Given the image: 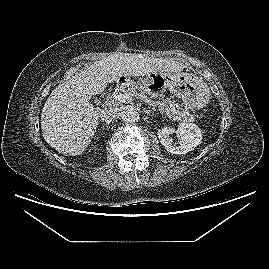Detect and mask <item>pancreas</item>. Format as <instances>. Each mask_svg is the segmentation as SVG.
<instances>
[{
    "label": "pancreas",
    "mask_w": 269,
    "mask_h": 269,
    "mask_svg": "<svg viewBox=\"0 0 269 269\" xmlns=\"http://www.w3.org/2000/svg\"><path fill=\"white\" fill-rule=\"evenodd\" d=\"M123 92L127 93L133 97H136L137 99H140L142 101L148 100V96H146L144 93H139L137 91V88L135 84L131 83L123 88ZM154 105L160 109L162 113H164L169 118H172L174 120H186L183 116L180 115L179 111L172 105H170L169 100H163V101H156L154 102Z\"/></svg>",
    "instance_id": "1"
}]
</instances>
